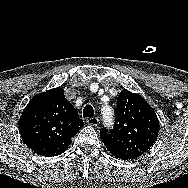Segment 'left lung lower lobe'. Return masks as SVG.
Returning a JSON list of instances; mask_svg holds the SVG:
<instances>
[{"mask_svg":"<svg viewBox=\"0 0 188 188\" xmlns=\"http://www.w3.org/2000/svg\"><path fill=\"white\" fill-rule=\"evenodd\" d=\"M107 149L117 158H121L123 160H129V159H134L131 158L128 154L122 152L121 150L117 149L115 146L111 145L108 142L103 141Z\"/></svg>","mask_w":188,"mask_h":188,"instance_id":"1","label":"left lung lower lobe"}]
</instances>
